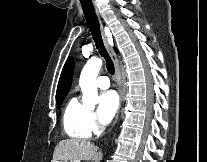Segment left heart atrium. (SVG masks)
Wrapping results in <instances>:
<instances>
[{
	"mask_svg": "<svg viewBox=\"0 0 207 162\" xmlns=\"http://www.w3.org/2000/svg\"><path fill=\"white\" fill-rule=\"evenodd\" d=\"M119 104V96L115 91H107L100 96L98 115L103 124L113 119L119 109Z\"/></svg>",
	"mask_w": 207,
	"mask_h": 162,
	"instance_id": "left-heart-atrium-1",
	"label": "left heart atrium"
}]
</instances>
